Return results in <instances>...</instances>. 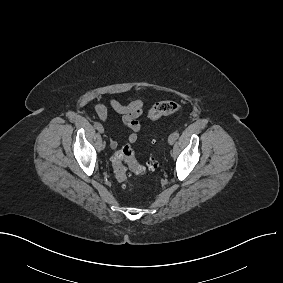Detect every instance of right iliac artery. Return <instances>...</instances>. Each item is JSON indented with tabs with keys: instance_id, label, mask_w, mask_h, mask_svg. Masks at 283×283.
Segmentation results:
<instances>
[{
	"instance_id": "1",
	"label": "right iliac artery",
	"mask_w": 283,
	"mask_h": 283,
	"mask_svg": "<svg viewBox=\"0 0 283 283\" xmlns=\"http://www.w3.org/2000/svg\"><path fill=\"white\" fill-rule=\"evenodd\" d=\"M100 126H101V124H100V123H98V122H94V127H95L96 129H98Z\"/></svg>"
}]
</instances>
